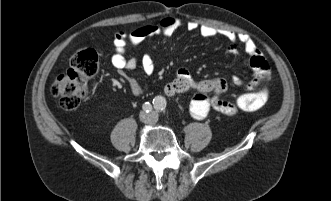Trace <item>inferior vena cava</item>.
<instances>
[{"mask_svg": "<svg viewBox=\"0 0 331 201\" xmlns=\"http://www.w3.org/2000/svg\"><path fill=\"white\" fill-rule=\"evenodd\" d=\"M148 117H145L144 115L140 116V119L144 122V123H155L156 117L153 114H147Z\"/></svg>", "mask_w": 331, "mask_h": 201, "instance_id": "602c4592", "label": "inferior vena cava"}]
</instances>
